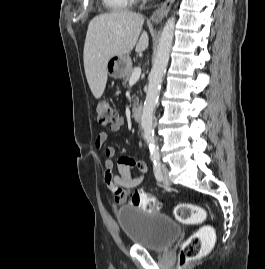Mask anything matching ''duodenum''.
Masks as SVG:
<instances>
[{
	"mask_svg": "<svg viewBox=\"0 0 265 269\" xmlns=\"http://www.w3.org/2000/svg\"><path fill=\"white\" fill-rule=\"evenodd\" d=\"M142 116H143V107L142 106H137L134 110H133V118L135 121H141L142 120Z\"/></svg>",
	"mask_w": 265,
	"mask_h": 269,
	"instance_id": "1",
	"label": "duodenum"
}]
</instances>
